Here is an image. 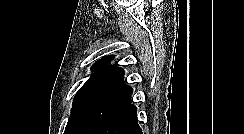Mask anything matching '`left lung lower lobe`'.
I'll return each instance as SVG.
<instances>
[{
  "label": "left lung lower lobe",
  "instance_id": "1",
  "mask_svg": "<svg viewBox=\"0 0 244 134\" xmlns=\"http://www.w3.org/2000/svg\"><path fill=\"white\" fill-rule=\"evenodd\" d=\"M136 112V106L128 103L106 119L94 134H142Z\"/></svg>",
  "mask_w": 244,
  "mask_h": 134
}]
</instances>
